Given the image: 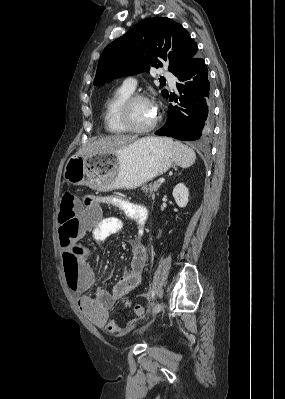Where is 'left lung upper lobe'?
I'll use <instances>...</instances> for the list:
<instances>
[{"mask_svg": "<svg viewBox=\"0 0 285 399\" xmlns=\"http://www.w3.org/2000/svg\"><path fill=\"white\" fill-rule=\"evenodd\" d=\"M197 51L196 43L181 24L165 17L148 18L105 47L94 85L163 65L175 74ZM162 92L168 97L166 90Z\"/></svg>", "mask_w": 285, "mask_h": 399, "instance_id": "obj_1", "label": "left lung upper lobe"}]
</instances>
